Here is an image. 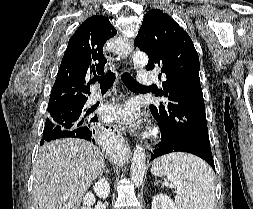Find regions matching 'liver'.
<instances>
[{"label": "liver", "mask_w": 253, "mask_h": 209, "mask_svg": "<svg viewBox=\"0 0 253 209\" xmlns=\"http://www.w3.org/2000/svg\"><path fill=\"white\" fill-rule=\"evenodd\" d=\"M105 167L100 150L82 139H58L41 147L34 166L35 209H78Z\"/></svg>", "instance_id": "1"}]
</instances>
